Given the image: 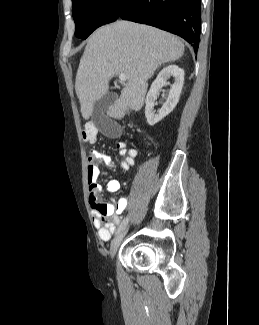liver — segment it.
Returning <instances> with one entry per match:
<instances>
[{
  "label": "liver",
  "mask_w": 259,
  "mask_h": 325,
  "mask_svg": "<svg viewBox=\"0 0 259 325\" xmlns=\"http://www.w3.org/2000/svg\"><path fill=\"white\" fill-rule=\"evenodd\" d=\"M184 54L182 41L152 26L118 20L98 28L88 39L77 70L75 89L81 113L88 120L94 103L109 89L116 75H127L120 97L107 115L122 119L128 109L138 111L144 104L147 81L163 63Z\"/></svg>",
  "instance_id": "obj_1"
}]
</instances>
